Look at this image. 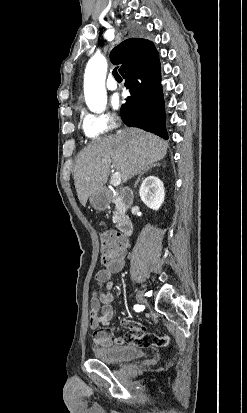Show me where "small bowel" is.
I'll use <instances>...</instances> for the list:
<instances>
[{"label":"small bowel","mask_w":247,"mask_h":413,"mask_svg":"<svg viewBox=\"0 0 247 413\" xmlns=\"http://www.w3.org/2000/svg\"><path fill=\"white\" fill-rule=\"evenodd\" d=\"M126 245L117 251L112 259L105 264V267L95 275L94 284L97 290L91 298L89 313V325L94 330L93 342L96 346L104 348L127 342L133 343L135 349H165L167 341H170L171 337L164 334H147L142 322L125 321L128 327L130 322L135 323L133 324V329L126 331L123 339L113 338L112 329L106 327L114 315L112 307L114 296L110 292L112 276L120 272L124 267ZM101 326L105 328H101ZM136 338H140V340H136Z\"/></svg>","instance_id":"c3829d8e"}]
</instances>
